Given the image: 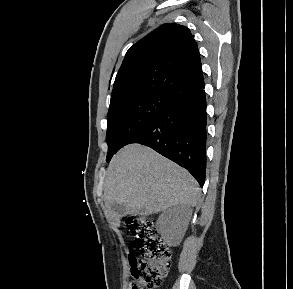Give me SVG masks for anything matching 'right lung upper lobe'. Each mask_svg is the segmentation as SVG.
<instances>
[{
	"instance_id": "obj_1",
	"label": "right lung upper lobe",
	"mask_w": 293,
	"mask_h": 289,
	"mask_svg": "<svg viewBox=\"0 0 293 289\" xmlns=\"http://www.w3.org/2000/svg\"><path fill=\"white\" fill-rule=\"evenodd\" d=\"M196 41L185 26L166 23L126 53L110 105L133 96L159 95L173 103L204 89Z\"/></svg>"
}]
</instances>
